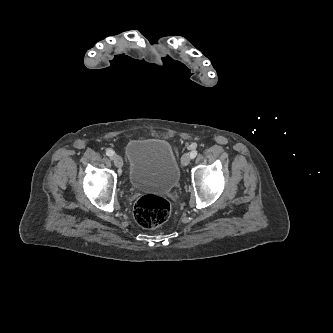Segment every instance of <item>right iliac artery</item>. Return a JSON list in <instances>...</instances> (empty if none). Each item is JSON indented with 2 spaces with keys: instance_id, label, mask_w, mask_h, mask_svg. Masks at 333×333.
<instances>
[{
  "instance_id": "1",
  "label": "right iliac artery",
  "mask_w": 333,
  "mask_h": 333,
  "mask_svg": "<svg viewBox=\"0 0 333 333\" xmlns=\"http://www.w3.org/2000/svg\"><path fill=\"white\" fill-rule=\"evenodd\" d=\"M114 151L112 150V149H108L107 151H106V155L107 156H109V157H112L113 155H114Z\"/></svg>"
}]
</instances>
